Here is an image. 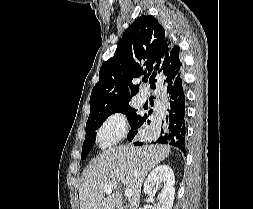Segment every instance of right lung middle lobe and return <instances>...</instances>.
<instances>
[{"label": "right lung middle lobe", "instance_id": "right-lung-middle-lobe-1", "mask_svg": "<svg viewBox=\"0 0 253 209\" xmlns=\"http://www.w3.org/2000/svg\"><path fill=\"white\" fill-rule=\"evenodd\" d=\"M123 113L126 114L130 126L137 124L141 117L137 116L136 110L131 106L120 107L105 113H100L94 116H90L86 123V138L83 143L82 147V155L81 159L84 160L88 153L90 152L91 148L93 147L96 139V130L103 124V122L113 113Z\"/></svg>", "mask_w": 253, "mask_h": 209}]
</instances>
